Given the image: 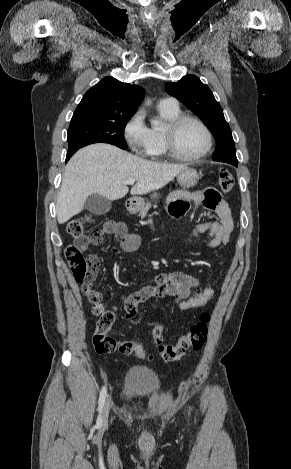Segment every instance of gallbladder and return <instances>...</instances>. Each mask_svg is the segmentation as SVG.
Masks as SVG:
<instances>
[{
  "label": "gallbladder",
  "instance_id": "gallbladder-1",
  "mask_svg": "<svg viewBox=\"0 0 291 469\" xmlns=\"http://www.w3.org/2000/svg\"><path fill=\"white\" fill-rule=\"evenodd\" d=\"M85 209L94 215H103L110 211L111 201L100 194H92L87 197Z\"/></svg>",
  "mask_w": 291,
  "mask_h": 469
}]
</instances>
